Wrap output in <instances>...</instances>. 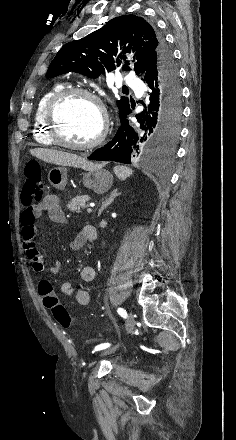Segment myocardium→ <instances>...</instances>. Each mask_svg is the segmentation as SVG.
<instances>
[{"mask_svg": "<svg viewBox=\"0 0 236 440\" xmlns=\"http://www.w3.org/2000/svg\"><path fill=\"white\" fill-rule=\"evenodd\" d=\"M72 96H80L92 101L98 108L100 117H101V125L100 130L96 137L91 141L84 144H74L66 141L62 138L59 131V124L56 117V111L61 103L69 97ZM44 121L51 139L55 142L56 145L70 149V150H90L98 146L105 139L108 128H109V118L108 113L105 108V105L101 98L94 94L93 92L79 87H64L61 90L57 91L48 101L45 112H44Z\"/></svg>", "mask_w": 236, "mask_h": 440, "instance_id": "myocardium-1", "label": "myocardium"}]
</instances>
